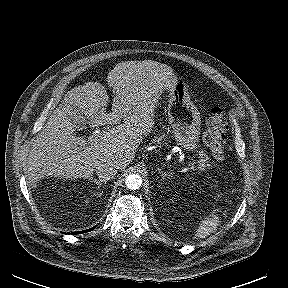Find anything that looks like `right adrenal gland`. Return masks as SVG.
I'll list each match as a JSON object with an SVG mask.
<instances>
[{
    "label": "right adrenal gland",
    "mask_w": 288,
    "mask_h": 288,
    "mask_svg": "<svg viewBox=\"0 0 288 288\" xmlns=\"http://www.w3.org/2000/svg\"><path fill=\"white\" fill-rule=\"evenodd\" d=\"M91 180H92V182H94V183L97 185V187H96L97 190H99V189L101 188V185H102L103 183H106V182H107V180H104V179H96V178H93V177H91Z\"/></svg>",
    "instance_id": "2a0ac1e0"
}]
</instances>
